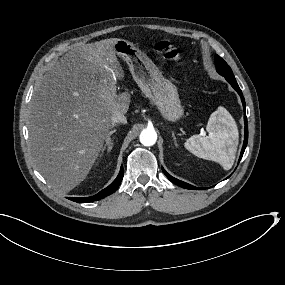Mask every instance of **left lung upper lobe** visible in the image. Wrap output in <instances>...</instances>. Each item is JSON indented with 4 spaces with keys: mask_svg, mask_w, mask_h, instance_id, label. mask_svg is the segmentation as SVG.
I'll list each match as a JSON object with an SVG mask.
<instances>
[{
    "mask_svg": "<svg viewBox=\"0 0 285 285\" xmlns=\"http://www.w3.org/2000/svg\"><path fill=\"white\" fill-rule=\"evenodd\" d=\"M215 66L217 72L224 76L226 80L234 79V75L232 73L231 68L227 65V63L218 55H215Z\"/></svg>",
    "mask_w": 285,
    "mask_h": 285,
    "instance_id": "5c2ea615",
    "label": "left lung upper lobe"
}]
</instances>
